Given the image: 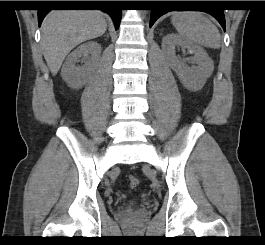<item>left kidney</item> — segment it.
<instances>
[{
	"mask_svg": "<svg viewBox=\"0 0 265 245\" xmlns=\"http://www.w3.org/2000/svg\"><path fill=\"white\" fill-rule=\"evenodd\" d=\"M179 47L194 55L191 60L195 65L187 67L181 58L176 56V48ZM162 50L169 66L177 73L185 88L191 91L203 88L214 70V64L202 47L172 33L162 39Z\"/></svg>",
	"mask_w": 265,
	"mask_h": 245,
	"instance_id": "5707ae66",
	"label": "left kidney"
}]
</instances>
